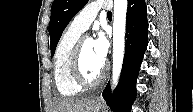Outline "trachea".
<instances>
[{"label":"trachea","mask_w":193,"mask_h":112,"mask_svg":"<svg viewBox=\"0 0 193 112\" xmlns=\"http://www.w3.org/2000/svg\"><path fill=\"white\" fill-rule=\"evenodd\" d=\"M107 15H108V16H112V13L109 11V12L107 13Z\"/></svg>","instance_id":"trachea-1"}]
</instances>
